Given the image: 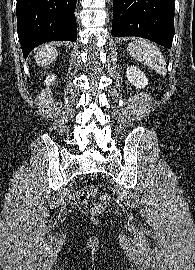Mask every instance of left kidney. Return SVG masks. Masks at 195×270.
<instances>
[{
  "label": "left kidney",
  "instance_id": "5707ae66",
  "mask_svg": "<svg viewBox=\"0 0 195 270\" xmlns=\"http://www.w3.org/2000/svg\"><path fill=\"white\" fill-rule=\"evenodd\" d=\"M126 76L130 83L136 88H144L148 84V79L145 74L134 66H129L126 71Z\"/></svg>",
  "mask_w": 195,
  "mask_h": 270
}]
</instances>
